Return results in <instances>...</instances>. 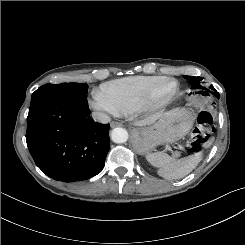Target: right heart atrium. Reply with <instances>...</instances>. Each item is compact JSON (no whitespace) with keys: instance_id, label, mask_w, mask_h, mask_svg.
Segmentation results:
<instances>
[{"instance_id":"1","label":"right heart atrium","mask_w":245,"mask_h":245,"mask_svg":"<svg viewBox=\"0 0 245 245\" xmlns=\"http://www.w3.org/2000/svg\"><path fill=\"white\" fill-rule=\"evenodd\" d=\"M88 103L103 119L118 114L115 107L100 92H94Z\"/></svg>"}]
</instances>
